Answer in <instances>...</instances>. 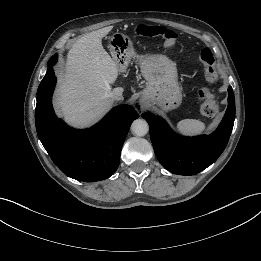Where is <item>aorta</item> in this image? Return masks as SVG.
Here are the masks:
<instances>
[{"label":"aorta","mask_w":261,"mask_h":261,"mask_svg":"<svg viewBox=\"0 0 261 261\" xmlns=\"http://www.w3.org/2000/svg\"><path fill=\"white\" fill-rule=\"evenodd\" d=\"M149 130L148 123L144 119H136L131 125V131L137 136H144Z\"/></svg>","instance_id":"aorta-1"}]
</instances>
